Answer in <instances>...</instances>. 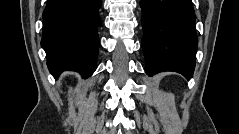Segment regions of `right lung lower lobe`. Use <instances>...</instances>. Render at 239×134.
I'll use <instances>...</instances> for the list:
<instances>
[{
	"label": "right lung lower lobe",
	"mask_w": 239,
	"mask_h": 134,
	"mask_svg": "<svg viewBox=\"0 0 239 134\" xmlns=\"http://www.w3.org/2000/svg\"><path fill=\"white\" fill-rule=\"evenodd\" d=\"M100 6L101 0H48L41 46L55 78L66 70L85 77L96 70Z\"/></svg>",
	"instance_id": "right-lung-lower-lobe-1"
}]
</instances>
